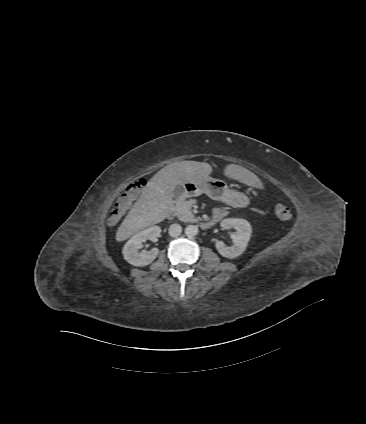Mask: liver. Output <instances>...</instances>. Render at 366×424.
Segmentation results:
<instances>
[{"label": "liver", "mask_w": 366, "mask_h": 424, "mask_svg": "<svg viewBox=\"0 0 366 424\" xmlns=\"http://www.w3.org/2000/svg\"><path fill=\"white\" fill-rule=\"evenodd\" d=\"M212 166L197 161H180L158 171L146 184L116 232L118 242L125 241L137 232L163 221L173 207V191L184 182H195L209 177ZM224 175L245 185L262 188L261 180L248 169L229 164Z\"/></svg>", "instance_id": "liver-1"}]
</instances>
